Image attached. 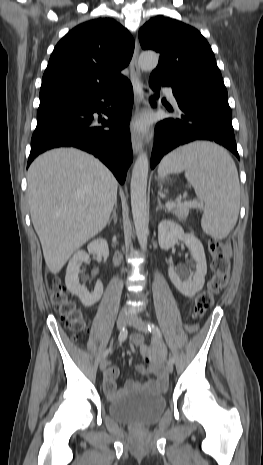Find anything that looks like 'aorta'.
<instances>
[{
	"mask_svg": "<svg viewBox=\"0 0 263 465\" xmlns=\"http://www.w3.org/2000/svg\"><path fill=\"white\" fill-rule=\"evenodd\" d=\"M159 55L153 51H144L139 57V67L143 71H151L156 68ZM149 161L146 152H142L137 157L132 170L131 177V208L136 235L142 251L147 249V238L149 234L147 223V178Z\"/></svg>",
	"mask_w": 263,
	"mask_h": 465,
	"instance_id": "1",
	"label": "aorta"
}]
</instances>
